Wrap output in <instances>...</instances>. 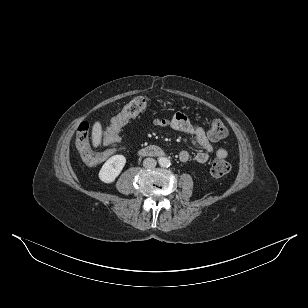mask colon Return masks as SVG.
<instances>
[{
	"instance_id": "colon-1",
	"label": "colon",
	"mask_w": 308,
	"mask_h": 308,
	"mask_svg": "<svg viewBox=\"0 0 308 308\" xmlns=\"http://www.w3.org/2000/svg\"><path fill=\"white\" fill-rule=\"evenodd\" d=\"M150 99L146 96H139L126 104L114 119L110 120L102 130V140L106 144L117 143L119 139V130L130 119L144 112L150 106ZM228 136L227 127L220 120H213L208 129V137L212 141H219ZM76 149L87 165H96L105 162L114 157L113 149L108 148L99 152L92 148L89 140V123L84 121L78 126L76 132ZM231 170V164L224 158H217L211 164V174L215 177H222Z\"/></svg>"
}]
</instances>
